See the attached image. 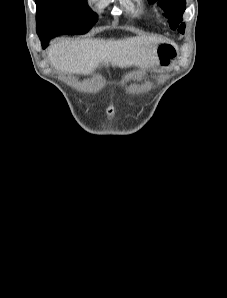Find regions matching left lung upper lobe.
Listing matches in <instances>:
<instances>
[{
  "label": "left lung upper lobe",
  "instance_id": "5c2ea615",
  "mask_svg": "<svg viewBox=\"0 0 227 298\" xmlns=\"http://www.w3.org/2000/svg\"><path fill=\"white\" fill-rule=\"evenodd\" d=\"M157 1L158 4L166 12V16L169 19L170 27L172 29H178L180 33H184L185 23H181L182 14L185 11V0H149V2Z\"/></svg>",
  "mask_w": 227,
  "mask_h": 298
}]
</instances>
